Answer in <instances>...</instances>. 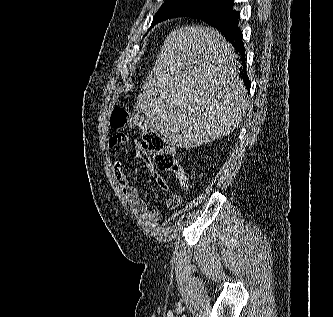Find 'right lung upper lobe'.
Masks as SVG:
<instances>
[{
	"label": "right lung upper lobe",
	"mask_w": 333,
	"mask_h": 317,
	"mask_svg": "<svg viewBox=\"0 0 333 317\" xmlns=\"http://www.w3.org/2000/svg\"><path fill=\"white\" fill-rule=\"evenodd\" d=\"M230 3H233L234 0H228Z\"/></svg>",
	"instance_id": "obj_1"
}]
</instances>
